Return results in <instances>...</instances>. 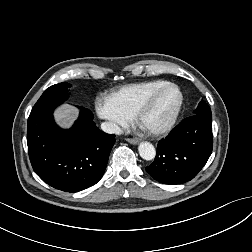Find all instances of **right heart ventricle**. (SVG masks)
Here are the masks:
<instances>
[{"label":"right heart ventricle","mask_w":252,"mask_h":252,"mask_svg":"<svg viewBox=\"0 0 252 252\" xmlns=\"http://www.w3.org/2000/svg\"><path fill=\"white\" fill-rule=\"evenodd\" d=\"M166 83L168 81L164 79H152L131 83L114 90L110 97L122 110L133 116L147 96L153 90Z\"/></svg>","instance_id":"right-heart-ventricle-1"}]
</instances>
